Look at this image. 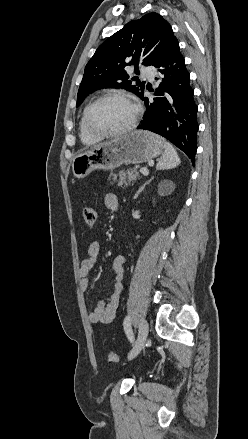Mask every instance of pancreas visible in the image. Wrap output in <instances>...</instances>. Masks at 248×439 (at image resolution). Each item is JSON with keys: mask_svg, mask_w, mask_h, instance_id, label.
Returning <instances> with one entry per match:
<instances>
[{"mask_svg": "<svg viewBox=\"0 0 248 439\" xmlns=\"http://www.w3.org/2000/svg\"><path fill=\"white\" fill-rule=\"evenodd\" d=\"M138 177V172L136 169L131 170H122L118 174L111 173L109 179H112V184L117 182L118 186L128 185L131 182L135 181Z\"/></svg>", "mask_w": 248, "mask_h": 439, "instance_id": "1", "label": "pancreas"}]
</instances>
